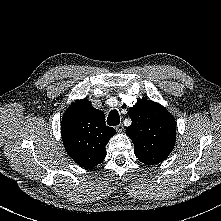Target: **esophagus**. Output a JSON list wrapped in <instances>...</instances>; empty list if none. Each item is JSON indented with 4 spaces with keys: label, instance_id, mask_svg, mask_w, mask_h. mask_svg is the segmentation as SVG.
Returning a JSON list of instances; mask_svg holds the SVG:
<instances>
[{
    "label": "esophagus",
    "instance_id": "1",
    "mask_svg": "<svg viewBox=\"0 0 221 221\" xmlns=\"http://www.w3.org/2000/svg\"><path fill=\"white\" fill-rule=\"evenodd\" d=\"M116 130H117L118 132H122V131L124 130V125H123V124L117 125V126H116Z\"/></svg>",
    "mask_w": 221,
    "mask_h": 221
}]
</instances>
